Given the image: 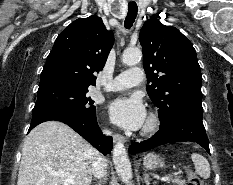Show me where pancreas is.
I'll list each match as a JSON object with an SVG mask.
<instances>
[{
    "label": "pancreas",
    "instance_id": "1",
    "mask_svg": "<svg viewBox=\"0 0 233 185\" xmlns=\"http://www.w3.org/2000/svg\"><path fill=\"white\" fill-rule=\"evenodd\" d=\"M171 182L174 185H185V181L181 180L180 177H174V178H172Z\"/></svg>",
    "mask_w": 233,
    "mask_h": 185
}]
</instances>
